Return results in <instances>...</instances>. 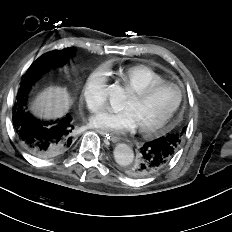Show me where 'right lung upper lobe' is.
Here are the masks:
<instances>
[{
    "label": "right lung upper lobe",
    "instance_id": "obj_1",
    "mask_svg": "<svg viewBox=\"0 0 232 232\" xmlns=\"http://www.w3.org/2000/svg\"><path fill=\"white\" fill-rule=\"evenodd\" d=\"M55 51H59V50H55ZM73 55H74V50H73ZM64 60H66V59H64Z\"/></svg>",
    "mask_w": 232,
    "mask_h": 232
}]
</instances>
